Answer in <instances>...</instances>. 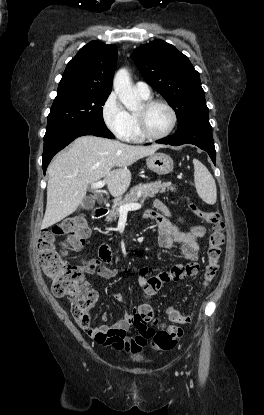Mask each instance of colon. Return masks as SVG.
I'll use <instances>...</instances> for the list:
<instances>
[{
    "label": "colon",
    "mask_w": 264,
    "mask_h": 415,
    "mask_svg": "<svg viewBox=\"0 0 264 415\" xmlns=\"http://www.w3.org/2000/svg\"><path fill=\"white\" fill-rule=\"evenodd\" d=\"M189 209L199 218L204 219L210 228L206 251V266L203 275V287L208 288L219 269L224 242L223 221L218 210L204 211L185 198ZM90 235L89 225L84 217H74L61 226L43 229L38 240L39 260L43 275L51 282L52 294L56 297H67L76 323L83 329H90L89 312L97 301V293L93 290L85 276L82 266L69 264L60 254L58 246L63 243L67 249L77 250L82 247ZM60 238H64L63 241ZM195 266L177 264L154 278L152 288L171 281H178L191 276ZM168 318L172 323L189 325L192 315H183L177 310H170ZM133 322L142 340L148 337L151 346L156 350H169L176 346L183 337L184 331L178 325L156 329L158 326L154 311L149 305H143L134 315Z\"/></svg>",
    "instance_id": "colon-1"
}]
</instances>
